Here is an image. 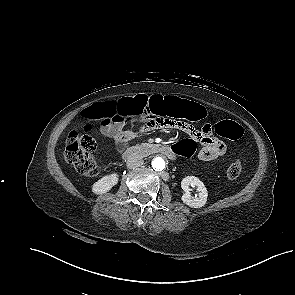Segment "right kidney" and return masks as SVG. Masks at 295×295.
<instances>
[{
    "instance_id": "ca27d5eb",
    "label": "right kidney",
    "mask_w": 295,
    "mask_h": 295,
    "mask_svg": "<svg viewBox=\"0 0 295 295\" xmlns=\"http://www.w3.org/2000/svg\"><path fill=\"white\" fill-rule=\"evenodd\" d=\"M118 181H119V176L117 173L106 175L93 184L92 192L97 195L104 194L110 191L112 187L117 185Z\"/></svg>"
}]
</instances>
